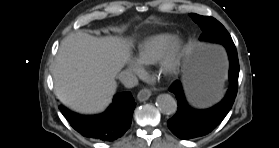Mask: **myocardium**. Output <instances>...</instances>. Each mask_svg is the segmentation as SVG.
<instances>
[{"label":"myocardium","mask_w":279,"mask_h":148,"mask_svg":"<svg viewBox=\"0 0 279 148\" xmlns=\"http://www.w3.org/2000/svg\"><path fill=\"white\" fill-rule=\"evenodd\" d=\"M185 47L183 42H175L169 51L161 58L159 64V72L166 77L174 76L184 59Z\"/></svg>","instance_id":"1"}]
</instances>
